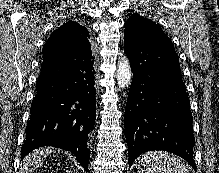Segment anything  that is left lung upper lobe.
Instances as JSON below:
<instances>
[{"label":"left lung upper lobe","mask_w":219,"mask_h":173,"mask_svg":"<svg viewBox=\"0 0 219 173\" xmlns=\"http://www.w3.org/2000/svg\"><path fill=\"white\" fill-rule=\"evenodd\" d=\"M124 26V40L172 45L170 38L159 25L138 14H132Z\"/></svg>","instance_id":"left-lung-upper-lobe-1"}]
</instances>
